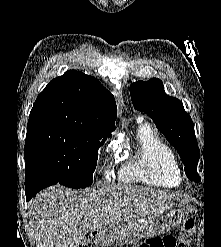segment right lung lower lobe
<instances>
[{"mask_svg": "<svg viewBox=\"0 0 221 247\" xmlns=\"http://www.w3.org/2000/svg\"><path fill=\"white\" fill-rule=\"evenodd\" d=\"M57 183L56 180L48 177L41 171L32 167H26L25 192L27 201H29L40 190Z\"/></svg>", "mask_w": 221, "mask_h": 247, "instance_id": "obj_1", "label": "right lung lower lobe"}]
</instances>
